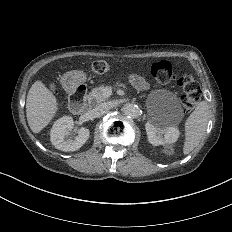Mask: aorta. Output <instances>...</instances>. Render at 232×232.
Listing matches in <instances>:
<instances>
[{
	"label": "aorta",
	"instance_id": "obj_1",
	"mask_svg": "<svg viewBox=\"0 0 232 232\" xmlns=\"http://www.w3.org/2000/svg\"><path fill=\"white\" fill-rule=\"evenodd\" d=\"M122 112L128 118H137L140 115V108L136 104L127 103L122 107Z\"/></svg>",
	"mask_w": 232,
	"mask_h": 232
}]
</instances>
